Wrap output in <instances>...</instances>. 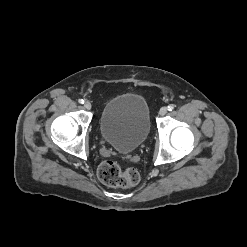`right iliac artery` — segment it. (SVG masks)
<instances>
[{
    "label": "right iliac artery",
    "mask_w": 247,
    "mask_h": 247,
    "mask_svg": "<svg viewBox=\"0 0 247 247\" xmlns=\"http://www.w3.org/2000/svg\"><path fill=\"white\" fill-rule=\"evenodd\" d=\"M78 102H79L80 104H83V103H84V100H83V99H79Z\"/></svg>",
    "instance_id": "right-iliac-artery-1"
}]
</instances>
